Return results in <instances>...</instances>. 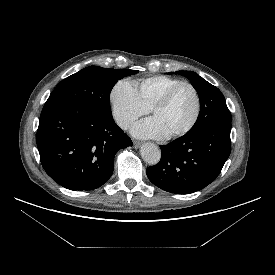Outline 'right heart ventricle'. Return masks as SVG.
Returning <instances> with one entry per match:
<instances>
[{
  "label": "right heart ventricle",
  "instance_id": "1",
  "mask_svg": "<svg viewBox=\"0 0 275 275\" xmlns=\"http://www.w3.org/2000/svg\"><path fill=\"white\" fill-rule=\"evenodd\" d=\"M181 81L165 76L155 75L143 78L137 82L136 89L139 98L143 105L150 110V108L173 86L179 84Z\"/></svg>",
  "mask_w": 275,
  "mask_h": 275
}]
</instances>
